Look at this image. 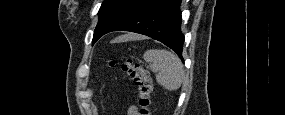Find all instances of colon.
Segmentation results:
<instances>
[{"instance_id": "5ec220e1", "label": "colon", "mask_w": 285, "mask_h": 115, "mask_svg": "<svg viewBox=\"0 0 285 115\" xmlns=\"http://www.w3.org/2000/svg\"><path fill=\"white\" fill-rule=\"evenodd\" d=\"M110 65L114 66L115 62H110ZM121 66L122 70L132 78L138 88L139 114L150 115L153 82L148 71L138 63L129 60L123 61Z\"/></svg>"}]
</instances>
